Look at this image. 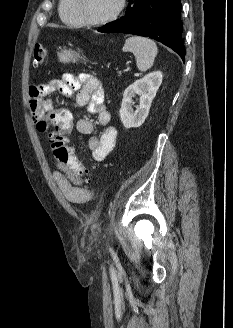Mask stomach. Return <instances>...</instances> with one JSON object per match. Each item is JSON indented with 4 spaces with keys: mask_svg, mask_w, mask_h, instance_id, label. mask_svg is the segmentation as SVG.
Listing matches in <instances>:
<instances>
[{
    "mask_svg": "<svg viewBox=\"0 0 233 328\" xmlns=\"http://www.w3.org/2000/svg\"><path fill=\"white\" fill-rule=\"evenodd\" d=\"M58 58L63 63L76 62L80 58L79 54L71 49H64L58 53Z\"/></svg>",
    "mask_w": 233,
    "mask_h": 328,
    "instance_id": "0dacf381",
    "label": "stomach"
}]
</instances>
